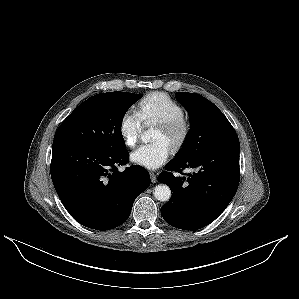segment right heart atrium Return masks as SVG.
<instances>
[{
    "label": "right heart atrium",
    "mask_w": 299,
    "mask_h": 299,
    "mask_svg": "<svg viewBox=\"0 0 299 299\" xmlns=\"http://www.w3.org/2000/svg\"><path fill=\"white\" fill-rule=\"evenodd\" d=\"M144 126V122L137 110H126L119 123L120 135L128 147H134L139 141V137Z\"/></svg>",
    "instance_id": "1"
}]
</instances>
